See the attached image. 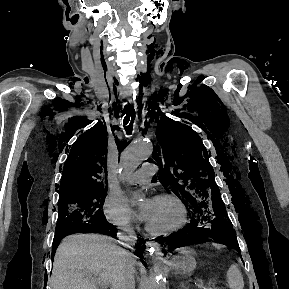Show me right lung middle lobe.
Wrapping results in <instances>:
<instances>
[{"instance_id":"right-lung-middle-lobe-1","label":"right lung middle lobe","mask_w":289,"mask_h":289,"mask_svg":"<svg viewBox=\"0 0 289 289\" xmlns=\"http://www.w3.org/2000/svg\"><path fill=\"white\" fill-rule=\"evenodd\" d=\"M106 193L107 187L60 197L55 237L67 236L82 224L106 219L102 210Z\"/></svg>"}]
</instances>
